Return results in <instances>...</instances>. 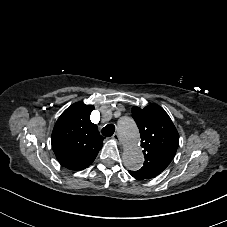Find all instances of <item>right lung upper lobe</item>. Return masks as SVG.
I'll return each instance as SVG.
<instances>
[{
    "label": "right lung upper lobe",
    "mask_w": 227,
    "mask_h": 227,
    "mask_svg": "<svg viewBox=\"0 0 227 227\" xmlns=\"http://www.w3.org/2000/svg\"><path fill=\"white\" fill-rule=\"evenodd\" d=\"M94 107L77 102L58 118L51 137L53 151L59 163L70 170L88 167L102 148L103 139L90 120Z\"/></svg>",
    "instance_id": "right-lung-upper-lobe-1"
}]
</instances>
